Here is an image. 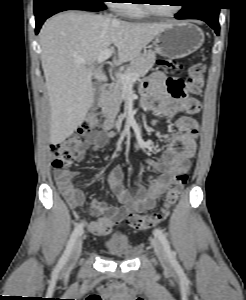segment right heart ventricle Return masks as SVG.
I'll list each match as a JSON object with an SVG mask.
<instances>
[{"instance_id":"1","label":"right heart ventricle","mask_w":246,"mask_h":300,"mask_svg":"<svg viewBox=\"0 0 246 300\" xmlns=\"http://www.w3.org/2000/svg\"><path fill=\"white\" fill-rule=\"evenodd\" d=\"M120 12L128 17L141 18L146 13L136 3H125L121 6Z\"/></svg>"}]
</instances>
